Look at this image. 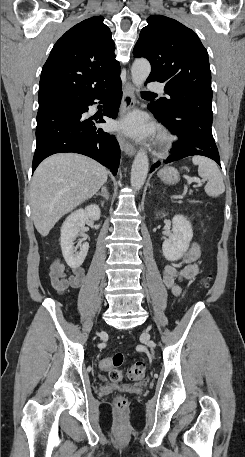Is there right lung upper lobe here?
<instances>
[{
	"mask_svg": "<svg viewBox=\"0 0 245 457\" xmlns=\"http://www.w3.org/2000/svg\"><path fill=\"white\" fill-rule=\"evenodd\" d=\"M112 33L102 16L90 17L68 30L43 66L39 108L89 95L120 78Z\"/></svg>",
	"mask_w": 245,
	"mask_h": 457,
	"instance_id": "obj_1",
	"label": "right lung upper lobe"
}]
</instances>
